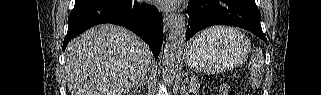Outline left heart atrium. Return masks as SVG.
Returning a JSON list of instances; mask_svg holds the SVG:
<instances>
[{
	"label": "left heart atrium",
	"instance_id": "left-heart-atrium-1",
	"mask_svg": "<svg viewBox=\"0 0 321 95\" xmlns=\"http://www.w3.org/2000/svg\"><path fill=\"white\" fill-rule=\"evenodd\" d=\"M160 7L162 8H173L174 6H176L177 3H179V1L177 0H160L159 2Z\"/></svg>",
	"mask_w": 321,
	"mask_h": 95
}]
</instances>
